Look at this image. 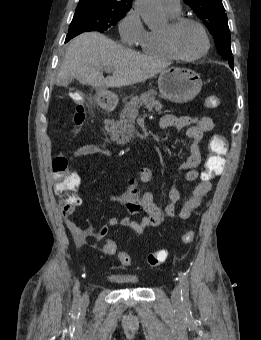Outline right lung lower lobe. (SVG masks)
<instances>
[{"label":"right lung lower lobe","instance_id":"98d812e1","mask_svg":"<svg viewBox=\"0 0 261 340\" xmlns=\"http://www.w3.org/2000/svg\"><path fill=\"white\" fill-rule=\"evenodd\" d=\"M80 33H82V31H74V32L68 33V35L66 36L65 42H68L70 39L79 35Z\"/></svg>","mask_w":261,"mask_h":340}]
</instances>
